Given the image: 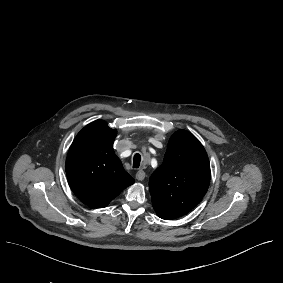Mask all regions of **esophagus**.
<instances>
[{
    "label": "esophagus",
    "instance_id": "obj_1",
    "mask_svg": "<svg viewBox=\"0 0 283 283\" xmlns=\"http://www.w3.org/2000/svg\"><path fill=\"white\" fill-rule=\"evenodd\" d=\"M135 177L137 180L142 181L145 178V172L143 170H139L137 171Z\"/></svg>",
    "mask_w": 283,
    "mask_h": 283
}]
</instances>
